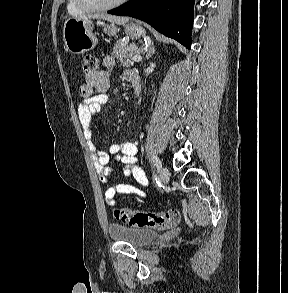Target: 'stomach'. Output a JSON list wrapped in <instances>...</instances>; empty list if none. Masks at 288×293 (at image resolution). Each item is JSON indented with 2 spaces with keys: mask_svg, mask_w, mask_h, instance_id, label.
Segmentation results:
<instances>
[{
  "mask_svg": "<svg viewBox=\"0 0 288 293\" xmlns=\"http://www.w3.org/2000/svg\"><path fill=\"white\" fill-rule=\"evenodd\" d=\"M97 25H103L98 21ZM94 23L91 19L82 20L78 18H69L65 21L63 27V41L66 50L73 54H81L92 50L98 43L96 35L93 33ZM105 31L111 35L118 31L114 23L107 25ZM125 33L132 39L144 37L145 29L135 22H129L125 25Z\"/></svg>",
  "mask_w": 288,
  "mask_h": 293,
  "instance_id": "stomach-1",
  "label": "stomach"
}]
</instances>
